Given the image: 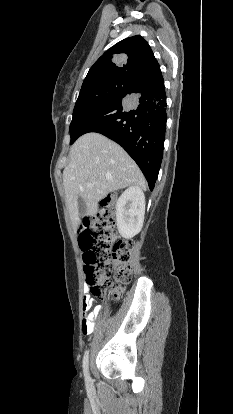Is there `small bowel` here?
I'll return each instance as SVG.
<instances>
[{
    "mask_svg": "<svg viewBox=\"0 0 233 414\" xmlns=\"http://www.w3.org/2000/svg\"><path fill=\"white\" fill-rule=\"evenodd\" d=\"M84 289V297H83V320H82V331L83 334L89 335L93 332L95 327V319L99 315V313L102 310L101 306L95 307L92 309L93 300L92 298L87 294L90 289L89 283L83 284Z\"/></svg>",
    "mask_w": 233,
    "mask_h": 414,
    "instance_id": "c3829d8e",
    "label": "small bowel"
}]
</instances>
